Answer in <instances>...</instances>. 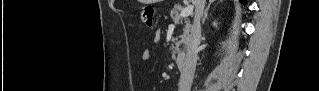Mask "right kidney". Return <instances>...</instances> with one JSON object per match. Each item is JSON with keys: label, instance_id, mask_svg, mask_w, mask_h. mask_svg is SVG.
Here are the masks:
<instances>
[{"label": "right kidney", "instance_id": "1", "mask_svg": "<svg viewBox=\"0 0 319 91\" xmlns=\"http://www.w3.org/2000/svg\"><path fill=\"white\" fill-rule=\"evenodd\" d=\"M213 26H217V23H216V22H213Z\"/></svg>", "mask_w": 319, "mask_h": 91}]
</instances>
